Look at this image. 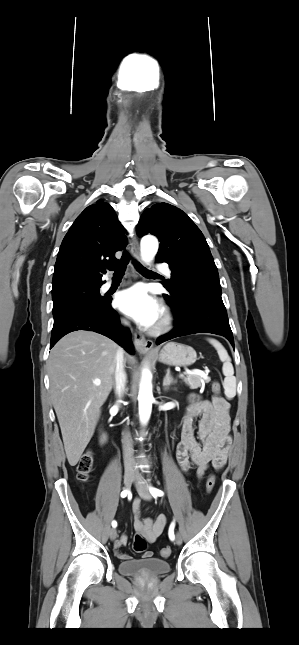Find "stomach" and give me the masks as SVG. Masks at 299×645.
I'll list each match as a JSON object with an SVG mask.
<instances>
[{
	"instance_id": "stomach-1",
	"label": "stomach",
	"mask_w": 299,
	"mask_h": 645,
	"mask_svg": "<svg viewBox=\"0 0 299 645\" xmlns=\"http://www.w3.org/2000/svg\"><path fill=\"white\" fill-rule=\"evenodd\" d=\"M197 354L187 345L176 342L167 343L158 355V360L170 366H190L195 363Z\"/></svg>"
}]
</instances>
